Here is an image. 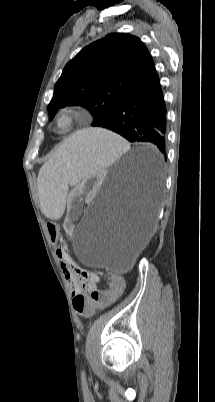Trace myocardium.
Returning a JSON list of instances; mask_svg holds the SVG:
<instances>
[{
  "label": "myocardium",
  "instance_id": "myocardium-1",
  "mask_svg": "<svg viewBox=\"0 0 215 402\" xmlns=\"http://www.w3.org/2000/svg\"><path fill=\"white\" fill-rule=\"evenodd\" d=\"M80 117L79 110L73 107H64L56 113L53 119V127L57 133L67 134L77 126Z\"/></svg>",
  "mask_w": 215,
  "mask_h": 402
}]
</instances>
